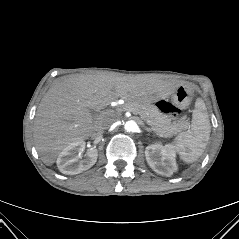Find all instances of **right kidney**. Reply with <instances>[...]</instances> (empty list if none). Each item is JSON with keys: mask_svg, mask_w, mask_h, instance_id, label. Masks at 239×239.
Here are the masks:
<instances>
[{"mask_svg": "<svg viewBox=\"0 0 239 239\" xmlns=\"http://www.w3.org/2000/svg\"><path fill=\"white\" fill-rule=\"evenodd\" d=\"M84 148V141L71 143L64 148L57 158V166L60 172L67 175H75L91 168L97 161L98 152L96 149H90L85 157L81 159L77 153Z\"/></svg>", "mask_w": 239, "mask_h": 239, "instance_id": "1", "label": "right kidney"}]
</instances>
